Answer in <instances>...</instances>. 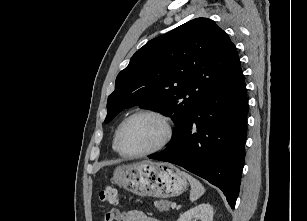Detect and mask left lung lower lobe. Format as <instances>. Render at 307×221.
Returning <instances> with one entry per match:
<instances>
[{
	"label": "left lung lower lobe",
	"mask_w": 307,
	"mask_h": 221,
	"mask_svg": "<svg viewBox=\"0 0 307 221\" xmlns=\"http://www.w3.org/2000/svg\"><path fill=\"white\" fill-rule=\"evenodd\" d=\"M248 98L240 62L191 112L168 147L150 159L170 162L220 188L234 208L245 157Z\"/></svg>",
	"instance_id": "left-lung-lower-lobe-1"
}]
</instances>
